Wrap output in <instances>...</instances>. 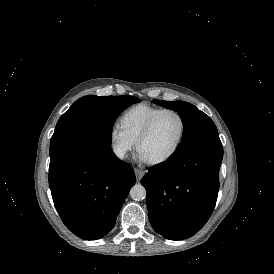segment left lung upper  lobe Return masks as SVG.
<instances>
[{
  "mask_svg": "<svg viewBox=\"0 0 274 274\" xmlns=\"http://www.w3.org/2000/svg\"><path fill=\"white\" fill-rule=\"evenodd\" d=\"M153 102L178 112L183 122L182 140L172 156H179L202 145L221 143L214 122L194 105L183 101L154 100Z\"/></svg>",
  "mask_w": 274,
  "mask_h": 274,
  "instance_id": "5c2ea615",
  "label": "left lung upper lobe"
}]
</instances>
